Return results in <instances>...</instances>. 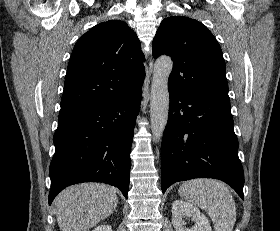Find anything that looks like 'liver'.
Instances as JSON below:
<instances>
[{
	"label": "liver",
	"mask_w": 280,
	"mask_h": 231,
	"mask_svg": "<svg viewBox=\"0 0 280 231\" xmlns=\"http://www.w3.org/2000/svg\"><path fill=\"white\" fill-rule=\"evenodd\" d=\"M115 187L105 183H78L63 189L54 199L62 231H89L116 209Z\"/></svg>",
	"instance_id": "1"
}]
</instances>
